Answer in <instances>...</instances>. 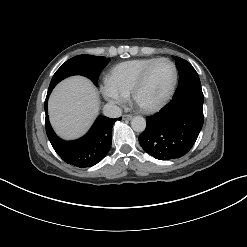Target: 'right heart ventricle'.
Here are the masks:
<instances>
[{
  "mask_svg": "<svg viewBox=\"0 0 247 247\" xmlns=\"http://www.w3.org/2000/svg\"><path fill=\"white\" fill-rule=\"evenodd\" d=\"M155 59L140 58L119 63L111 69L106 80L128 95L143 69Z\"/></svg>",
  "mask_w": 247,
  "mask_h": 247,
  "instance_id": "1",
  "label": "right heart ventricle"
}]
</instances>
